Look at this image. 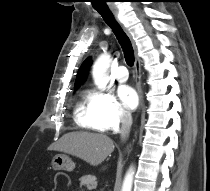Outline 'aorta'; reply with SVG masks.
Segmentation results:
<instances>
[{"instance_id": "aorta-1", "label": "aorta", "mask_w": 210, "mask_h": 191, "mask_svg": "<svg viewBox=\"0 0 210 191\" xmlns=\"http://www.w3.org/2000/svg\"><path fill=\"white\" fill-rule=\"evenodd\" d=\"M110 56L107 54L101 55L93 66V79L95 84L100 88L104 89L108 83L107 69L109 65ZM134 170L130 168L127 172L121 191H131L133 183Z\"/></svg>"}]
</instances>
